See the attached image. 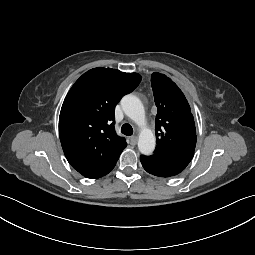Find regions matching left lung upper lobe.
Listing matches in <instances>:
<instances>
[{
  "label": "left lung upper lobe",
  "instance_id": "left-lung-upper-lobe-1",
  "mask_svg": "<svg viewBox=\"0 0 255 255\" xmlns=\"http://www.w3.org/2000/svg\"><path fill=\"white\" fill-rule=\"evenodd\" d=\"M151 86L157 106L156 149L153 155L194 152L196 128L190 106L179 87L166 75L153 73Z\"/></svg>",
  "mask_w": 255,
  "mask_h": 255
}]
</instances>
